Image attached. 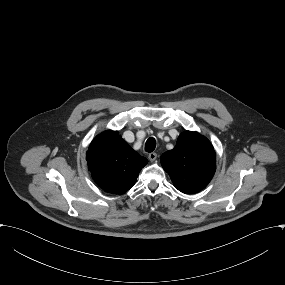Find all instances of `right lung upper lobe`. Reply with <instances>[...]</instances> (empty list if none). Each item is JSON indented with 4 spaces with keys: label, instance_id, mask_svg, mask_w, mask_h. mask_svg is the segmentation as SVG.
I'll return each mask as SVG.
<instances>
[{
    "label": "right lung upper lobe",
    "instance_id": "cb5924a9",
    "mask_svg": "<svg viewBox=\"0 0 285 285\" xmlns=\"http://www.w3.org/2000/svg\"><path fill=\"white\" fill-rule=\"evenodd\" d=\"M87 163L100 188L109 193L123 194L135 184L148 160L134 151L117 131H106L90 144Z\"/></svg>",
    "mask_w": 285,
    "mask_h": 285
}]
</instances>
